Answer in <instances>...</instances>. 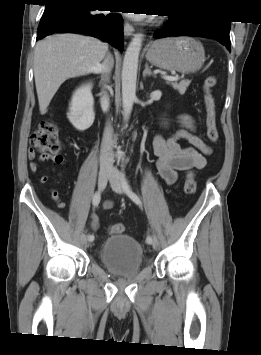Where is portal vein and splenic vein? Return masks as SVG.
<instances>
[{"instance_id":"portal-vein-and-splenic-vein-1","label":"portal vein and splenic vein","mask_w":261,"mask_h":355,"mask_svg":"<svg viewBox=\"0 0 261 355\" xmlns=\"http://www.w3.org/2000/svg\"><path fill=\"white\" fill-rule=\"evenodd\" d=\"M163 78L165 79V80H168V81H176V80H178L179 79V76H168V75H166V76H163Z\"/></svg>"}]
</instances>
